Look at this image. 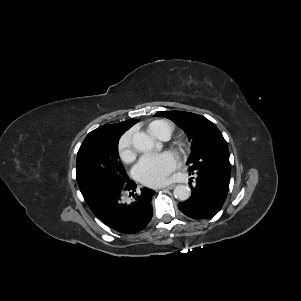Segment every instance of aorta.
Listing matches in <instances>:
<instances>
[{
    "instance_id": "obj_1",
    "label": "aorta",
    "mask_w": 301,
    "mask_h": 301,
    "mask_svg": "<svg viewBox=\"0 0 301 301\" xmlns=\"http://www.w3.org/2000/svg\"><path fill=\"white\" fill-rule=\"evenodd\" d=\"M132 143L134 148L141 152L150 151L154 147L153 139L143 132L135 133L132 138ZM173 194L178 200L186 201L187 199H189L191 192L188 186L177 185L174 189Z\"/></svg>"
}]
</instances>
